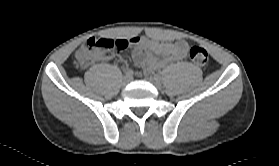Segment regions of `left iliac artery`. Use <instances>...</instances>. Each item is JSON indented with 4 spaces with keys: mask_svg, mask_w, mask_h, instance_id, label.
Masks as SVG:
<instances>
[{
    "mask_svg": "<svg viewBox=\"0 0 279 166\" xmlns=\"http://www.w3.org/2000/svg\"><path fill=\"white\" fill-rule=\"evenodd\" d=\"M156 76L159 77V78L161 79V75H160V74H157Z\"/></svg>",
    "mask_w": 279,
    "mask_h": 166,
    "instance_id": "1",
    "label": "left iliac artery"
}]
</instances>
